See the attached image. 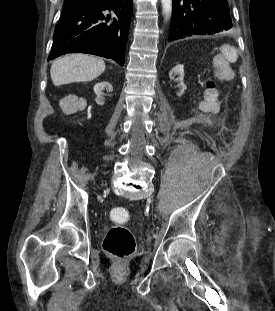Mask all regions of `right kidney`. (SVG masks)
<instances>
[{"instance_id":"obj_1","label":"right kidney","mask_w":275,"mask_h":311,"mask_svg":"<svg viewBox=\"0 0 275 311\" xmlns=\"http://www.w3.org/2000/svg\"><path fill=\"white\" fill-rule=\"evenodd\" d=\"M111 90L112 85L108 82H100L97 83L94 86V92L97 95V99L95 100V103L99 105L101 108H104L108 100H111Z\"/></svg>"}]
</instances>
